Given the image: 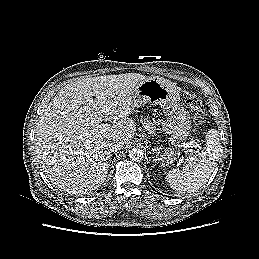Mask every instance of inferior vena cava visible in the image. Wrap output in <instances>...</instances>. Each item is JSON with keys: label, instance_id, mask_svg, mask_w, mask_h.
Masks as SVG:
<instances>
[{"label": "inferior vena cava", "instance_id": "obj_1", "mask_svg": "<svg viewBox=\"0 0 259 259\" xmlns=\"http://www.w3.org/2000/svg\"><path fill=\"white\" fill-rule=\"evenodd\" d=\"M108 146L111 152H117L118 150L122 149V143L117 140L110 141Z\"/></svg>", "mask_w": 259, "mask_h": 259}]
</instances>
